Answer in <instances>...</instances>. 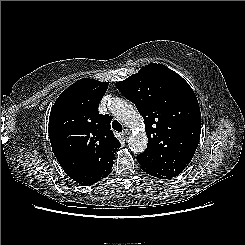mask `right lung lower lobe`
<instances>
[{"label":"right lung lower lobe","mask_w":245,"mask_h":245,"mask_svg":"<svg viewBox=\"0 0 245 245\" xmlns=\"http://www.w3.org/2000/svg\"><path fill=\"white\" fill-rule=\"evenodd\" d=\"M112 167H113V161H110L108 162V164H105L104 168H102L104 173L103 178H105L107 175L111 173ZM63 170L71 179L79 183L80 181L79 176L76 174V171L74 169L65 167L63 168Z\"/></svg>","instance_id":"right-lung-lower-lobe-1"}]
</instances>
